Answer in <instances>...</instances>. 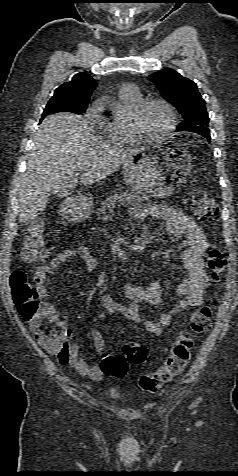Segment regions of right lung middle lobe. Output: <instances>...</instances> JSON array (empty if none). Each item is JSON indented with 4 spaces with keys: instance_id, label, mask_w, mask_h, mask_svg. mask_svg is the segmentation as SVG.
Returning a JSON list of instances; mask_svg holds the SVG:
<instances>
[{
    "instance_id": "obj_1",
    "label": "right lung middle lobe",
    "mask_w": 238,
    "mask_h": 476,
    "mask_svg": "<svg viewBox=\"0 0 238 476\" xmlns=\"http://www.w3.org/2000/svg\"><path fill=\"white\" fill-rule=\"evenodd\" d=\"M87 105L74 104L72 99L66 96H53L46 105L42 117L51 113L70 112L82 114L85 112Z\"/></svg>"
}]
</instances>
